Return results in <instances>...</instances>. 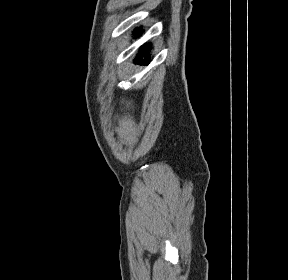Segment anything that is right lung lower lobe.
Segmentation results:
<instances>
[{
	"label": "right lung lower lobe",
	"instance_id": "obj_1",
	"mask_svg": "<svg viewBox=\"0 0 288 280\" xmlns=\"http://www.w3.org/2000/svg\"><path fill=\"white\" fill-rule=\"evenodd\" d=\"M135 33H141V31H136ZM151 49L150 44H148L147 46H143L141 51L139 52L138 58H139V62L142 64H146L149 63L150 60V54H149V50ZM142 57H145V60L142 59ZM137 61V59H136Z\"/></svg>",
	"mask_w": 288,
	"mask_h": 280
}]
</instances>
